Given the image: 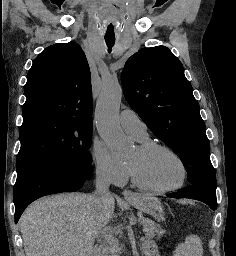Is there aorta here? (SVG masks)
Returning a JSON list of instances; mask_svg holds the SVG:
<instances>
[{
	"label": "aorta",
	"instance_id": "1",
	"mask_svg": "<svg viewBox=\"0 0 236 256\" xmlns=\"http://www.w3.org/2000/svg\"><path fill=\"white\" fill-rule=\"evenodd\" d=\"M122 94L119 83H106L96 104L95 120L98 133L114 152H122L127 147L119 123Z\"/></svg>",
	"mask_w": 236,
	"mask_h": 256
}]
</instances>
